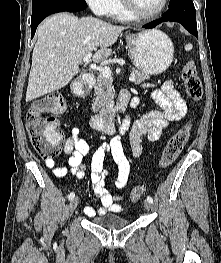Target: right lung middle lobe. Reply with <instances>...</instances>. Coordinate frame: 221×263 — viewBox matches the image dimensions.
Here are the masks:
<instances>
[{
    "instance_id": "obj_1",
    "label": "right lung middle lobe",
    "mask_w": 221,
    "mask_h": 263,
    "mask_svg": "<svg viewBox=\"0 0 221 263\" xmlns=\"http://www.w3.org/2000/svg\"><path fill=\"white\" fill-rule=\"evenodd\" d=\"M69 1H81V0H32L33 11L50 4L69 2Z\"/></svg>"
}]
</instances>
